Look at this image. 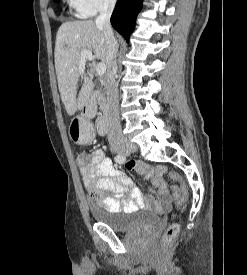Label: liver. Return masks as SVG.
I'll use <instances>...</instances> for the list:
<instances>
[{"label":"liver","mask_w":247,"mask_h":275,"mask_svg":"<svg viewBox=\"0 0 247 275\" xmlns=\"http://www.w3.org/2000/svg\"><path fill=\"white\" fill-rule=\"evenodd\" d=\"M88 50L95 59L109 68L104 34L92 20L63 23L56 34L55 70L61 100L69 116L80 111L87 103L94 88L92 80L79 69L81 52ZM107 72V71H106ZM82 87L77 96L78 82Z\"/></svg>","instance_id":"obj_1"}]
</instances>
